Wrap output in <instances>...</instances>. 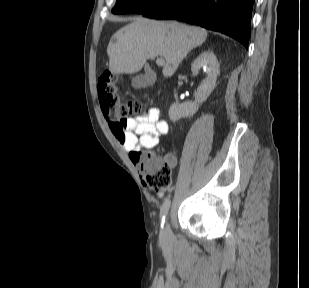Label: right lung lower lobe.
Instances as JSON below:
<instances>
[{
	"instance_id": "1",
	"label": "right lung lower lobe",
	"mask_w": 309,
	"mask_h": 288,
	"mask_svg": "<svg viewBox=\"0 0 309 288\" xmlns=\"http://www.w3.org/2000/svg\"><path fill=\"white\" fill-rule=\"evenodd\" d=\"M254 0H164L142 13L156 19H178L221 32L246 48Z\"/></svg>"
}]
</instances>
